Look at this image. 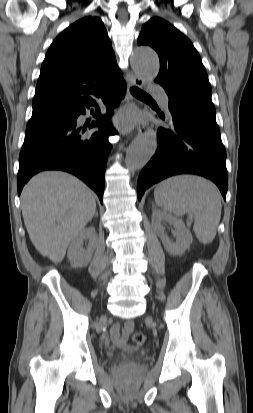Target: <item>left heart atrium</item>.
<instances>
[{
    "instance_id": "obj_1",
    "label": "left heart atrium",
    "mask_w": 253,
    "mask_h": 413,
    "mask_svg": "<svg viewBox=\"0 0 253 413\" xmlns=\"http://www.w3.org/2000/svg\"><path fill=\"white\" fill-rule=\"evenodd\" d=\"M119 121L122 124L123 127L125 128H129L132 126L133 122H134V118L133 115L129 112H126L124 114H122L119 117Z\"/></svg>"
}]
</instances>
